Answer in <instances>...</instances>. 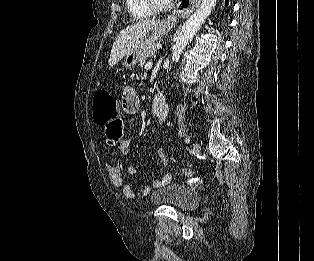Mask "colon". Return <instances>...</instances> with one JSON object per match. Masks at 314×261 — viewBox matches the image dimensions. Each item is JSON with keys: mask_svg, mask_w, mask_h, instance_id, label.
<instances>
[{"mask_svg": "<svg viewBox=\"0 0 314 261\" xmlns=\"http://www.w3.org/2000/svg\"><path fill=\"white\" fill-rule=\"evenodd\" d=\"M94 120L99 125H104L105 120H115L119 116L118 102L114 96H112L106 90H98L94 94ZM183 174L191 176L189 169H183Z\"/></svg>", "mask_w": 314, "mask_h": 261, "instance_id": "obj_1", "label": "colon"}]
</instances>
